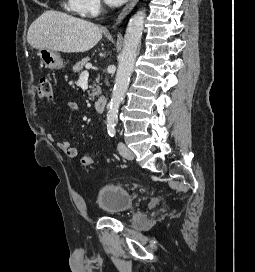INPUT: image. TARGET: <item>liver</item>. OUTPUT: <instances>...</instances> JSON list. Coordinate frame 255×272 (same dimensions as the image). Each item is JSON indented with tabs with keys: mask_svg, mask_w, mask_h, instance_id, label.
I'll return each instance as SVG.
<instances>
[{
	"mask_svg": "<svg viewBox=\"0 0 255 272\" xmlns=\"http://www.w3.org/2000/svg\"><path fill=\"white\" fill-rule=\"evenodd\" d=\"M103 28L63 12L48 10L29 27L28 43L35 49L64 53L86 52L102 38Z\"/></svg>",
	"mask_w": 255,
	"mask_h": 272,
	"instance_id": "obj_1",
	"label": "liver"
}]
</instances>
